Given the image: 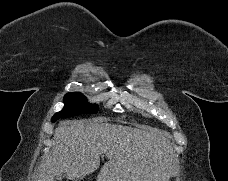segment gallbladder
<instances>
[{
    "instance_id": "obj_1",
    "label": "gallbladder",
    "mask_w": 228,
    "mask_h": 181,
    "mask_svg": "<svg viewBox=\"0 0 228 181\" xmlns=\"http://www.w3.org/2000/svg\"><path fill=\"white\" fill-rule=\"evenodd\" d=\"M63 177H64V173H61V175H56L55 181H62Z\"/></svg>"
}]
</instances>
